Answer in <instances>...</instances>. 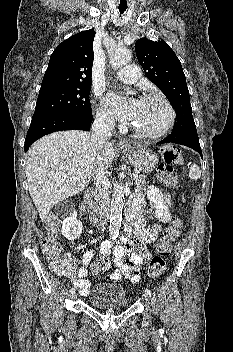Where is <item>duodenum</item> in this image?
I'll return each mask as SVG.
<instances>
[{"label": "duodenum", "mask_w": 233, "mask_h": 352, "mask_svg": "<svg viewBox=\"0 0 233 352\" xmlns=\"http://www.w3.org/2000/svg\"><path fill=\"white\" fill-rule=\"evenodd\" d=\"M85 203L92 215H95L97 213V207L94 202V191L92 189H89L85 193L84 197ZM136 210V204L135 202L129 203L126 209V216L129 217L131 216Z\"/></svg>", "instance_id": "duodenum-1"}]
</instances>
